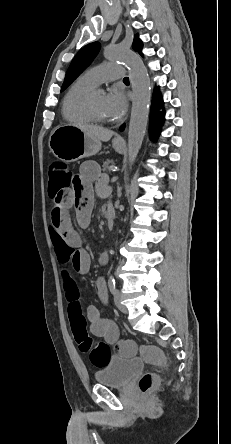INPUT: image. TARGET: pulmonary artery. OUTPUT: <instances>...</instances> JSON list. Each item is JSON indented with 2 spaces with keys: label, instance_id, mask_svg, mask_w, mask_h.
<instances>
[{
  "label": "pulmonary artery",
  "instance_id": "e3ab8cb5",
  "mask_svg": "<svg viewBox=\"0 0 231 444\" xmlns=\"http://www.w3.org/2000/svg\"><path fill=\"white\" fill-rule=\"evenodd\" d=\"M125 70L122 66L115 63H103L99 66L90 68L83 75L88 81L94 85H100L103 82L114 79L124 78Z\"/></svg>",
  "mask_w": 231,
  "mask_h": 444
}]
</instances>
